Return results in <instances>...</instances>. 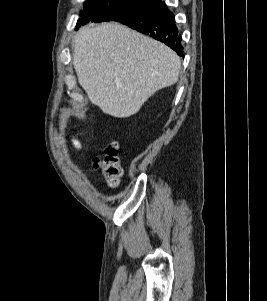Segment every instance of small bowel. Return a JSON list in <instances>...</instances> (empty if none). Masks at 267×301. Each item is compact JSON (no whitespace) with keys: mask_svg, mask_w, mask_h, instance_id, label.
Returning <instances> with one entry per match:
<instances>
[{"mask_svg":"<svg viewBox=\"0 0 267 301\" xmlns=\"http://www.w3.org/2000/svg\"><path fill=\"white\" fill-rule=\"evenodd\" d=\"M72 145L74 146V148H76L78 150H80L81 147H82V144H81L80 140L77 139V138L72 139Z\"/></svg>","mask_w":267,"mask_h":301,"instance_id":"small-bowel-1","label":"small bowel"}]
</instances>
